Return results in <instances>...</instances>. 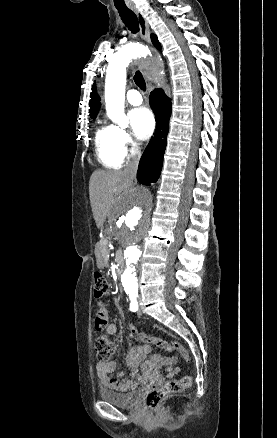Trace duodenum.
Listing matches in <instances>:
<instances>
[{
	"mask_svg": "<svg viewBox=\"0 0 277 438\" xmlns=\"http://www.w3.org/2000/svg\"><path fill=\"white\" fill-rule=\"evenodd\" d=\"M115 262L119 268H122L124 266V256L122 252H117L115 254Z\"/></svg>",
	"mask_w": 277,
	"mask_h": 438,
	"instance_id": "410a0bca",
	"label": "duodenum"
}]
</instances>
